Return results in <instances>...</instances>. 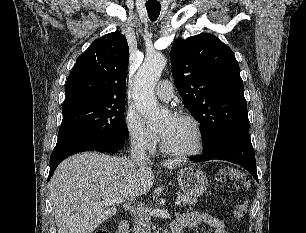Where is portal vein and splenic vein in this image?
<instances>
[{"label":"portal vein and splenic vein","mask_w":306,"mask_h":233,"mask_svg":"<svg viewBox=\"0 0 306 233\" xmlns=\"http://www.w3.org/2000/svg\"><path fill=\"white\" fill-rule=\"evenodd\" d=\"M110 204H120L122 202H125L123 199L121 198H113V199H109L107 200ZM181 204V200L180 199H177L176 202H175V205L178 206Z\"/></svg>","instance_id":"18ae733b"}]
</instances>
